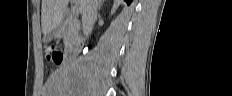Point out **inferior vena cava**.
Here are the masks:
<instances>
[{"mask_svg": "<svg viewBox=\"0 0 232 96\" xmlns=\"http://www.w3.org/2000/svg\"><path fill=\"white\" fill-rule=\"evenodd\" d=\"M98 0H85L82 12V25L84 37H88L93 28L95 18L97 16Z\"/></svg>", "mask_w": 232, "mask_h": 96, "instance_id": "obj_1", "label": "inferior vena cava"}]
</instances>
